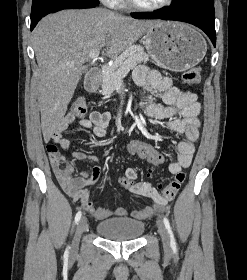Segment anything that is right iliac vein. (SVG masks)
Listing matches in <instances>:
<instances>
[{"mask_svg":"<svg viewBox=\"0 0 247 280\" xmlns=\"http://www.w3.org/2000/svg\"><path fill=\"white\" fill-rule=\"evenodd\" d=\"M86 227H87V219L85 217H83L79 220L77 227H76L74 239L72 242V253H76L78 251L80 238H81L82 233L86 229Z\"/></svg>","mask_w":247,"mask_h":280,"instance_id":"63e3f726","label":"right iliac vein"}]
</instances>
